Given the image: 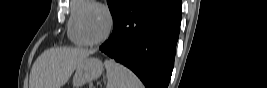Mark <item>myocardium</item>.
<instances>
[{
	"label": "myocardium",
	"instance_id": "f54148a6",
	"mask_svg": "<svg viewBox=\"0 0 267 88\" xmlns=\"http://www.w3.org/2000/svg\"><path fill=\"white\" fill-rule=\"evenodd\" d=\"M99 9L101 10L105 16H106V19H107V27H106V31L104 33V35L96 40V41H92L90 40L86 33H85V30H84V27H83V20L87 14V12L90 10V9ZM112 28H113V16H112V13L110 11V9L101 4V3H97V2H94L89 8H87L86 10H84L82 12V14L80 15L79 17V20H78V30H79V34L81 36V38L84 40V42L87 44V45H99V44H102L110 35L111 31H112Z\"/></svg>",
	"mask_w": 267,
	"mask_h": 88
}]
</instances>
